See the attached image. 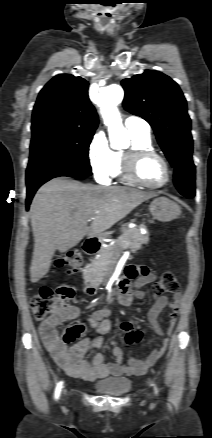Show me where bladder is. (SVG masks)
I'll use <instances>...</instances> for the list:
<instances>
[{"instance_id": "1", "label": "bladder", "mask_w": 212, "mask_h": 438, "mask_svg": "<svg viewBox=\"0 0 212 438\" xmlns=\"http://www.w3.org/2000/svg\"><path fill=\"white\" fill-rule=\"evenodd\" d=\"M130 386L127 378H104L97 381L94 388L100 394L122 395L130 390Z\"/></svg>"}]
</instances>
